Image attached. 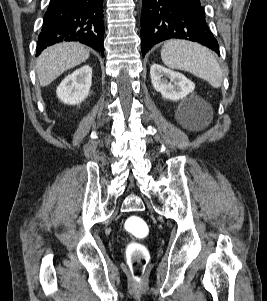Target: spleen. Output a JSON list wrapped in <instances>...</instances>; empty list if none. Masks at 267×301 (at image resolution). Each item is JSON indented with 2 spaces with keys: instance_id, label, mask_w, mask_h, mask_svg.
<instances>
[{
  "instance_id": "spleen-1",
  "label": "spleen",
  "mask_w": 267,
  "mask_h": 301,
  "mask_svg": "<svg viewBox=\"0 0 267 301\" xmlns=\"http://www.w3.org/2000/svg\"><path fill=\"white\" fill-rule=\"evenodd\" d=\"M161 59L167 67L190 72L214 88L222 84L223 75L217 59L208 48L200 44L169 40L161 49Z\"/></svg>"
}]
</instances>
